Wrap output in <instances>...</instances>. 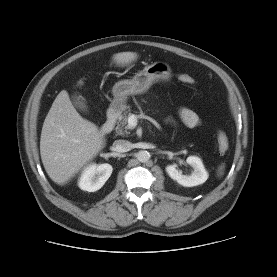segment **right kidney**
Here are the masks:
<instances>
[{"instance_id": "ca27d5eb", "label": "right kidney", "mask_w": 277, "mask_h": 277, "mask_svg": "<svg viewBox=\"0 0 277 277\" xmlns=\"http://www.w3.org/2000/svg\"><path fill=\"white\" fill-rule=\"evenodd\" d=\"M112 171V166L107 163L89 165L81 174L78 185L84 191L95 192L103 187Z\"/></svg>"}]
</instances>
